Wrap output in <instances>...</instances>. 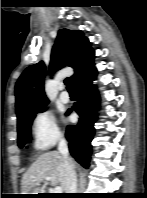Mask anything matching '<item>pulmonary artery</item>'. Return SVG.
<instances>
[{"label": "pulmonary artery", "mask_w": 147, "mask_h": 198, "mask_svg": "<svg viewBox=\"0 0 147 198\" xmlns=\"http://www.w3.org/2000/svg\"><path fill=\"white\" fill-rule=\"evenodd\" d=\"M61 90H63V87H61ZM59 99L62 103H68L70 101V96L66 91H62L59 95Z\"/></svg>", "instance_id": "pulmonary-artery-1"}]
</instances>
